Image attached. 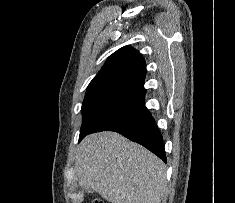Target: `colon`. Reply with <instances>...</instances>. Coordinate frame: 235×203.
I'll return each mask as SVG.
<instances>
[{
  "label": "colon",
  "mask_w": 235,
  "mask_h": 203,
  "mask_svg": "<svg viewBox=\"0 0 235 203\" xmlns=\"http://www.w3.org/2000/svg\"><path fill=\"white\" fill-rule=\"evenodd\" d=\"M94 203H105V202L102 200H96Z\"/></svg>",
  "instance_id": "5ec220e1"
}]
</instances>
